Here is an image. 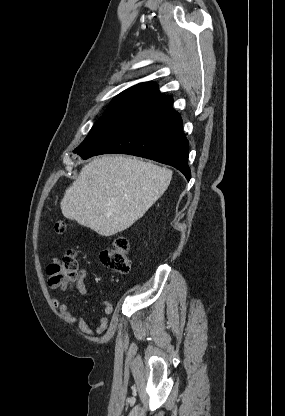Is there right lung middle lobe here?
I'll list each match as a JSON object with an SVG mask.
<instances>
[{
	"instance_id": "dd1d6c3e",
	"label": "right lung middle lobe",
	"mask_w": 285,
	"mask_h": 416,
	"mask_svg": "<svg viewBox=\"0 0 285 416\" xmlns=\"http://www.w3.org/2000/svg\"><path fill=\"white\" fill-rule=\"evenodd\" d=\"M162 110L158 104L131 95L116 96L85 140L74 150L79 153L128 126Z\"/></svg>"
}]
</instances>
